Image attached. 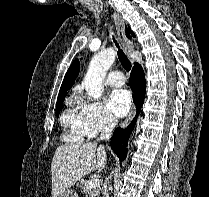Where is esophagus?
Listing matches in <instances>:
<instances>
[{"mask_svg": "<svg viewBox=\"0 0 209 197\" xmlns=\"http://www.w3.org/2000/svg\"><path fill=\"white\" fill-rule=\"evenodd\" d=\"M113 19L115 21L116 31H117L119 40L124 48L125 53L129 56L133 50V46H132L131 42L128 40V38L126 37L123 19L116 12H114V14H113ZM135 114H136V108L134 106V107H132L128 118L124 122L123 127H125V125H127L128 123H130L132 121Z\"/></svg>", "mask_w": 209, "mask_h": 197, "instance_id": "esophagus-1", "label": "esophagus"}]
</instances>
